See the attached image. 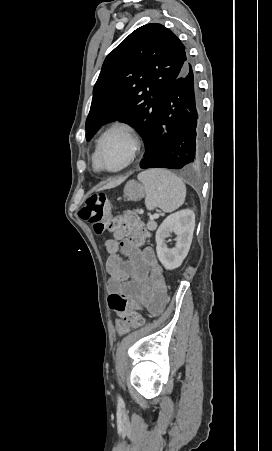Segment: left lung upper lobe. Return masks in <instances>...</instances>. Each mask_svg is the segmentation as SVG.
<instances>
[{"instance_id": "obj_1", "label": "left lung upper lobe", "mask_w": 272, "mask_h": 451, "mask_svg": "<svg viewBox=\"0 0 272 451\" xmlns=\"http://www.w3.org/2000/svg\"><path fill=\"white\" fill-rule=\"evenodd\" d=\"M186 60L184 45L163 25L147 24L133 31L103 63L86 120V139L119 119L138 126L148 147L162 102Z\"/></svg>"}]
</instances>
